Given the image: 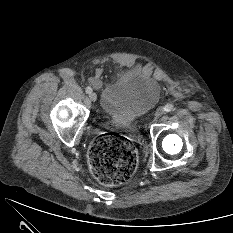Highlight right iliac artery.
Wrapping results in <instances>:
<instances>
[{
	"mask_svg": "<svg viewBox=\"0 0 233 233\" xmlns=\"http://www.w3.org/2000/svg\"><path fill=\"white\" fill-rule=\"evenodd\" d=\"M85 91H86V93H88V94H89V93H91V92H92V88H91V87H87Z\"/></svg>",
	"mask_w": 233,
	"mask_h": 233,
	"instance_id": "obj_1",
	"label": "right iliac artery"
}]
</instances>
